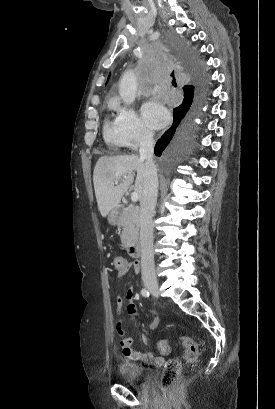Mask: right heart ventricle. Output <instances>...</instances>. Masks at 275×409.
<instances>
[{"label": "right heart ventricle", "mask_w": 275, "mask_h": 409, "mask_svg": "<svg viewBox=\"0 0 275 409\" xmlns=\"http://www.w3.org/2000/svg\"><path fill=\"white\" fill-rule=\"evenodd\" d=\"M103 133L105 142L110 147L111 151L113 153L121 152L124 144L116 121L110 122L109 120H106Z\"/></svg>", "instance_id": "obj_1"}]
</instances>
